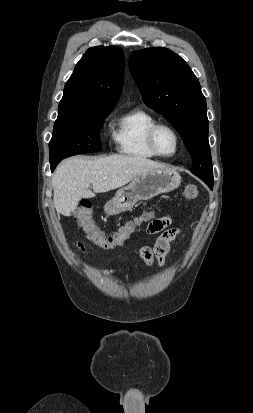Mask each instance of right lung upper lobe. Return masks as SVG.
<instances>
[{
	"label": "right lung upper lobe",
	"mask_w": 253,
	"mask_h": 413,
	"mask_svg": "<svg viewBox=\"0 0 253 413\" xmlns=\"http://www.w3.org/2000/svg\"><path fill=\"white\" fill-rule=\"evenodd\" d=\"M124 53L117 46L89 48L64 87L58 118L110 111L123 87Z\"/></svg>",
	"instance_id": "right-lung-upper-lobe-1"
}]
</instances>
